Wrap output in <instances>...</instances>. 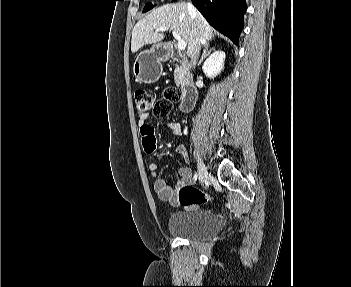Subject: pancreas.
<instances>
[{"label":"pancreas","mask_w":351,"mask_h":287,"mask_svg":"<svg viewBox=\"0 0 351 287\" xmlns=\"http://www.w3.org/2000/svg\"><path fill=\"white\" fill-rule=\"evenodd\" d=\"M174 80L177 86H182L185 82V68L183 66H176L174 70Z\"/></svg>","instance_id":"pancreas-1"}]
</instances>
